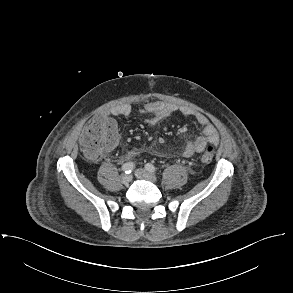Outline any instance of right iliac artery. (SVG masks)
Here are the masks:
<instances>
[{"mask_svg":"<svg viewBox=\"0 0 293 293\" xmlns=\"http://www.w3.org/2000/svg\"><path fill=\"white\" fill-rule=\"evenodd\" d=\"M134 169V164L132 162H127L122 165V170L126 173L129 174L133 171Z\"/></svg>","mask_w":293,"mask_h":293,"instance_id":"obj_1","label":"right iliac artery"}]
</instances>
